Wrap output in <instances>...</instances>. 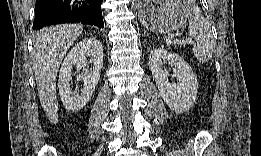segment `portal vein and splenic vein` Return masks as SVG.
<instances>
[{
    "label": "portal vein and splenic vein",
    "mask_w": 261,
    "mask_h": 156,
    "mask_svg": "<svg viewBox=\"0 0 261 156\" xmlns=\"http://www.w3.org/2000/svg\"><path fill=\"white\" fill-rule=\"evenodd\" d=\"M174 43H177V44H194V42L191 40V39H186V40H179V39H176L173 41ZM172 43V41H169V44Z\"/></svg>",
    "instance_id": "18ae733b"
}]
</instances>
